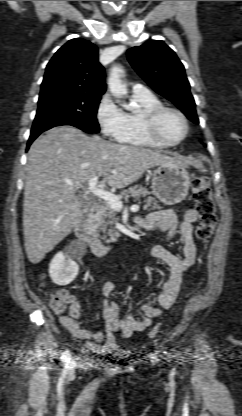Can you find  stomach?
Segmentation results:
<instances>
[{
    "instance_id": "stomach-1",
    "label": "stomach",
    "mask_w": 242,
    "mask_h": 416,
    "mask_svg": "<svg viewBox=\"0 0 242 416\" xmlns=\"http://www.w3.org/2000/svg\"><path fill=\"white\" fill-rule=\"evenodd\" d=\"M190 187V176L184 166L164 163L157 166L152 175V193L164 204L174 205L183 201Z\"/></svg>"
}]
</instances>
